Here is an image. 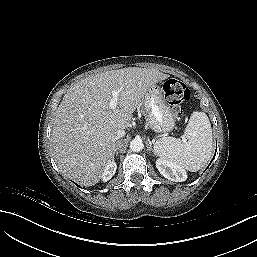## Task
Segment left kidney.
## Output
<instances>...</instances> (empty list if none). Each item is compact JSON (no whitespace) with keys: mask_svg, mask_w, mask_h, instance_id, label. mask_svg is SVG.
I'll return each mask as SVG.
<instances>
[{"mask_svg":"<svg viewBox=\"0 0 257 257\" xmlns=\"http://www.w3.org/2000/svg\"><path fill=\"white\" fill-rule=\"evenodd\" d=\"M156 167L163 177L171 181L183 182L187 179V174L184 169L167 160L157 159Z\"/></svg>","mask_w":257,"mask_h":257,"instance_id":"1","label":"left kidney"}]
</instances>
